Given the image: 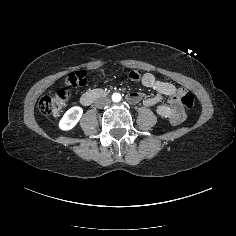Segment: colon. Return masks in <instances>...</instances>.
Wrapping results in <instances>:
<instances>
[{
  "label": "colon",
  "instance_id": "5ec220e1",
  "mask_svg": "<svg viewBox=\"0 0 236 236\" xmlns=\"http://www.w3.org/2000/svg\"><path fill=\"white\" fill-rule=\"evenodd\" d=\"M127 76L131 81L139 82L142 78V73L138 70H130L127 72ZM85 83L86 73L83 71L72 72L68 74L66 78V84L72 87L81 86ZM178 97L182 105L187 108L193 107L195 100L191 92L185 89H180L178 90ZM69 99L70 92L67 89L52 91L41 98L39 102V109L46 116L59 117L66 107Z\"/></svg>",
  "mask_w": 236,
  "mask_h": 236
}]
</instances>
